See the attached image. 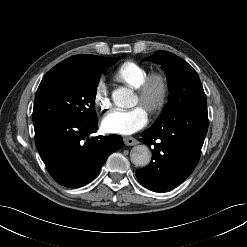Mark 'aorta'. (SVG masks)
Here are the masks:
<instances>
[{
    "label": "aorta",
    "mask_w": 247,
    "mask_h": 247,
    "mask_svg": "<svg viewBox=\"0 0 247 247\" xmlns=\"http://www.w3.org/2000/svg\"><path fill=\"white\" fill-rule=\"evenodd\" d=\"M134 97L132 90L128 88H118L112 93L114 103L119 107H128ZM131 162L138 167H145L151 161V151L146 145H137L131 149Z\"/></svg>",
    "instance_id": "762f6f07"
}]
</instances>
